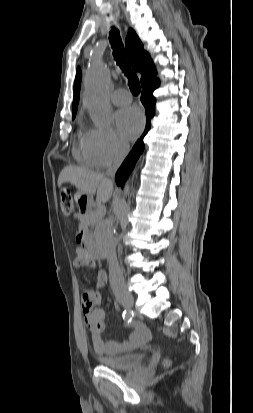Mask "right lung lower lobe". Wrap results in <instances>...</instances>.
Instances as JSON below:
<instances>
[{"mask_svg":"<svg viewBox=\"0 0 253 413\" xmlns=\"http://www.w3.org/2000/svg\"><path fill=\"white\" fill-rule=\"evenodd\" d=\"M141 84H142L141 101L146 109V117H147L146 127H145V131L143 135L136 142L132 151L126 157V159L124 160L121 167L118 169L116 173L115 180H116L117 185L119 186H123L126 178L130 174L136 161L140 157V154L143 152L144 150L143 137L146 135V133L150 129V121L155 114L154 107H155L156 99L153 97L152 93L159 86V80L156 78V74L147 77L141 82Z\"/></svg>","mask_w":253,"mask_h":413,"instance_id":"98d812e1","label":"right lung lower lobe"}]
</instances>
